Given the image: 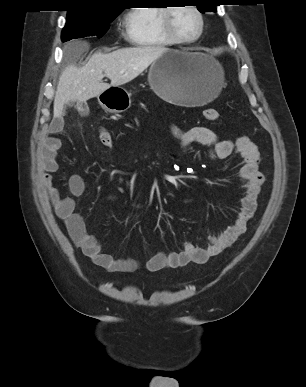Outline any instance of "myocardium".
<instances>
[{
    "label": "myocardium",
    "mask_w": 306,
    "mask_h": 387,
    "mask_svg": "<svg viewBox=\"0 0 306 387\" xmlns=\"http://www.w3.org/2000/svg\"><path fill=\"white\" fill-rule=\"evenodd\" d=\"M178 7L190 8L191 10H193L197 14V16L199 18L200 26H199V31L195 37L190 38V39L183 38V37L179 36L177 34V32L175 31L174 26H173L172 17H173L174 11ZM162 29H163V32L166 35V37L169 38L172 42H174L176 44H193V43L197 42L202 37V35L204 33V29H205L204 14L196 5H192V4H188V5H184V6H169V7L164 9V12L162 15Z\"/></svg>",
    "instance_id": "obj_1"
}]
</instances>
